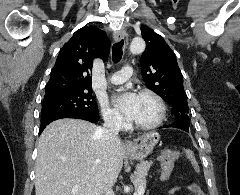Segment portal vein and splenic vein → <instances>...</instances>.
Instances as JSON below:
<instances>
[{
    "mask_svg": "<svg viewBox=\"0 0 240 195\" xmlns=\"http://www.w3.org/2000/svg\"><path fill=\"white\" fill-rule=\"evenodd\" d=\"M141 185L139 184L137 186L138 187L137 195H143L145 193V189ZM77 189H78V185H74V187H72V191H77Z\"/></svg>",
    "mask_w": 240,
    "mask_h": 195,
    "instance_id": "1",
    "label": "portal vein and splenic vein"
}]
</instances>
